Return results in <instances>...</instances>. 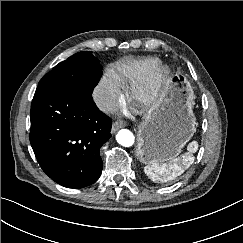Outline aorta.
<instances>
[{
    "label": "aorta",
    "instance_id": "762f6f07",
    "mask_svg": "<svg viewBox=\"0 0 243 243\" xmlns=\"http://www.w3.org/2000/svg\"><path fill=\"white\" fill-rule=\"evenodd\" d=\"M116 140L120 145L130 147L134 144L135 137L130 130L122 129L117 133Z\"/></svg>",
    "mask_w": 243,
    "mask_h": 243
}]
</instances>
